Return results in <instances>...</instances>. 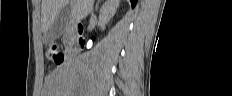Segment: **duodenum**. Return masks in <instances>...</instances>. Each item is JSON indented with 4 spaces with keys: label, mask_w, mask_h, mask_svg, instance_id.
I'll return each mask as SVG.
<instances>
[{
    "label": "duodenum",
    "mask_w": 232,
    "mask_h": 96,
    "mask_svg": "<svg viewBox=\"0 0 232 96\" xmlns=\"http://www.w3.org/2000/svg\"><path fill=\"white\" fill-rule=\"evenodd\" d=\"M83 26L81 24L69 25L64 29V35L69 43L65 52L67 59L76 57L84 48L82 37Z\"/></svg>",
    "instance_id": "410a0bca"
}]
</instances>
